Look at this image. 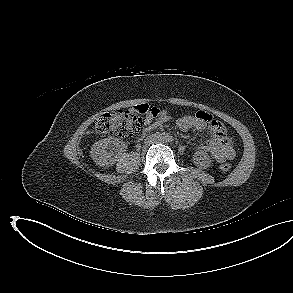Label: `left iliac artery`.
Masks as SVG:
<instances>
[{"label":"left iliac artery","mask_w":293,"mask_h":293,"mask_svg":"<svg viewBox=\"0 0 293 293\" xmlns=\"http://www.w3.org/2000/svg\"><path fill=\"white\" fill-rule=\"evenodd\" d=\"M172 140H173L172 138H169V139H168L169 142H171Z\"/></svg>","instance_id":"1"}]
</instances>
